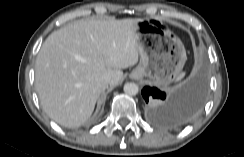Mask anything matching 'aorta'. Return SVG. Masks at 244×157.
Wrapping results in <instances>:
<instances>
[{
	"label": "aorta",
	"instance_id": "1",
	"mask_svg": "<svg viewBox=\"0 0 244 157\" xmlns=\"http://www.w3.org/2000/svg\"><path fill=\"white\" fill-rule=\"evenodd\" d=\"M124 92L128 95H136L139 92V87L135 83H126L124 85Z\"/></svg>",
	"mask_w": 244,
	"mask_h": 157
}]
</instances>
